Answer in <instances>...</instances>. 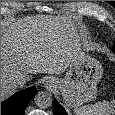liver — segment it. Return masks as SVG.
<instances>
[{
    "mask_svg": "<svg viewBox=\"0 0 115 115\" xmlns=\"http://www.w3.org/2000/svg\"><path fill=\"white\" fill-rule=\"evenodd\" d=\"M82 37L64 17L26 16L1 26V101L17 76L61 74L81 54Z\"/></svg>",
    "mask_w": 115,
    "mask_h": 115,
    "instance_id": "1",
    "label": "liver"
}]
</instances>
